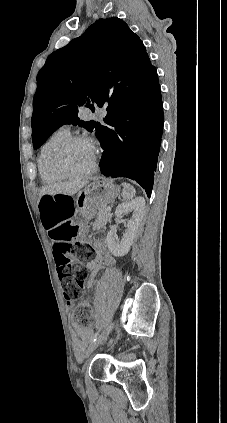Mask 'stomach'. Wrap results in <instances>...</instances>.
Segmentation results:
<instances>
[{
    "mask_svg": "<svg viewBox=\"0 0 227 423\" xmlns=\"http://www.w3.org/2000/svg\"><path fill=\"white\" fill-rule=\"evenodd\" d=\"M119 192L118 186H114L112 180L99 178V180H94L92 184H88L82 192H79L76 198V208L81 213L94 215L99 206L111 204L119 196Z\"/></svg>",
    "mask_w": 227,
    "mask_h": 423,
    "instance_id": "0dacf381",
    "label": "stomach"
}]
</instances>
